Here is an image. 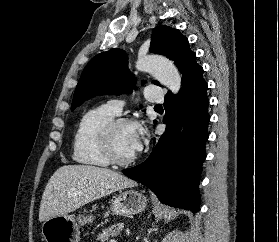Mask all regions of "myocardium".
I'll use <instances>...</instances> for the list:
<instances>
[{
  "instance_id": "obj_1",
  "label": "myocardium",
  "mask_w": 279,
  "mask_h": 242,
  "mask_svg": "<svg viewBox=\"0 0 279 242\" xmlns=\"http://www.w3.org/2000/svg\"><path fill=\"white\" fill-rule=\"evenodd\" d=\"M124 125L137 126V122L130 118L118 117L102 125L98 131V141L101 149L110 163L125 166L132 164L137 159V154L129 158H121L114 147V136L118 128Z\"/></svg>"
}]
</instances>
